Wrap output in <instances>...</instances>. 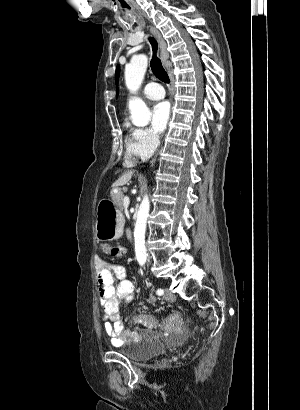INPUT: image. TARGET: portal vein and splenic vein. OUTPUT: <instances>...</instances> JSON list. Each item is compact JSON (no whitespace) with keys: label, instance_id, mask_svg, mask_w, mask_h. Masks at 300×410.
I'll return each mask as SVG.
<instances>
[{"label":"portal vein and splenic vein","instance_id":"1","mask_svg":"<svg viewBox=\"0 0 300 410\" xmlns=\"http://www.w3.org/2000/svg\"><path fill=\"white\" fill-rule=\"evenodd\" d=\"M129 204H130V199H129L128 196H125L124 199H123V206H124V208L127 209L128 206H129Z\"/></svg>","mask_w":300,"mask_h":410}]
</instances>
